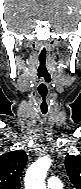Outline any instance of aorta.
I'll list each match as a JSON object with an SVG mask.
<instances>
[{
	"mask_svg": "<svg viewBox=\"0 0 81 189\" xmlns=\"http://www.w3.org/2000/svg\"><path fill=\"white\" fill-rule=\"evenodd\" d=\"M51 165L49 157H41L26 171L25 189H46L45 177Z\"/></svg>",
	"mask_w": 81,
	"mask_h": 189,
	"instance_id": "1",
	"label": "aorta"
}]
</instances>
